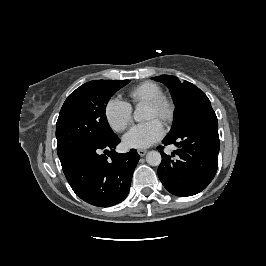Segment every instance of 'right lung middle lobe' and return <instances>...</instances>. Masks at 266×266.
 <instances>
[{
	"label": "right lung middle lobe",
	"mask_w": 266,
	"mask_h": 266,
	"mask_svg": "<svg viewBox=\"0 0 266 266\" xmlns=\"http://www.w3.org/2000/svg\"><path fill=\"white\" fill-rule=\"evenodd\" d=\"M129 80H94L83 84L65 100L56 124L60 161L79 149H89L115 136L106 115L111 96Z\"/></svg>",
	"instance_id": "1"
}]
</instances>
